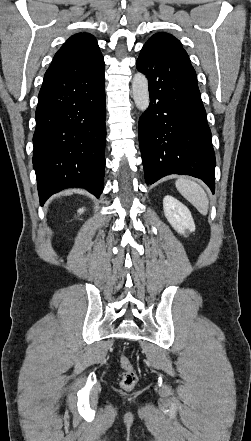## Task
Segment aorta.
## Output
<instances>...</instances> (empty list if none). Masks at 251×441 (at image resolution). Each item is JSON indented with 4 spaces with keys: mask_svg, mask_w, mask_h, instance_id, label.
<instances>
[{
    "mask_svg": "<svg viewBox=\"0 0 251 441\" xmlns=\"http://www.w3.org/2000/svg\"><path fill=\"white\" fill-rule=\"evenodd\" d=\"M132 93L136 107L140 111H146L149 107L148 80L142 73H136L132 80Z\"/></svg>",
    "mask_w": 251,
    "mask_h": 441,
    "instance_id": "762f6f07",
    "label": "aorta"
}]
</instances>
